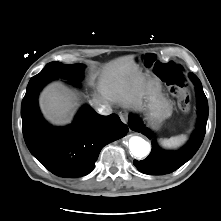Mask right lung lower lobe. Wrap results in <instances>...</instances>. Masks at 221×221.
Returning <instances> with one entry per match:
<instances>
[{
  "instance_id": "obj_1",
  "label": "right lung lower lobe",
  "mask_w": 221,
  "mask_h": 221,
  "mask_svg": "<svg viewBox=\"0 0 221 221\" xmlns=\"http://www.w3.org/2000/svg\"><path fill=\"white\" fill-rule=\"evenodd\" d=\"M52 79L55 78L36 75L29 81L21 106L24 140L32 155L53 174L85 176L93 170L101 149L124 137L128 127L118 115L102 116L88 106L67 127L49 125L39 111L37 97Z\"/></svg>"
}]
</instances>
